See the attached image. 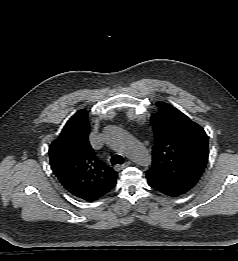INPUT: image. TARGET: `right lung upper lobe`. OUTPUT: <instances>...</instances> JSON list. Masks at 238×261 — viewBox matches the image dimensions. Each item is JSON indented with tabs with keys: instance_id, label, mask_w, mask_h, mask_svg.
<instances>
[{
	"instance_id": "cb5924a9",
	"label": "right lung upper lobe",
	"mask_w": 238,
	"mask_h": 261,
	"mask_svg": "<svg viewBox=\"0 0 238 261\" xmlns=\"http://www.w3.org/2000/svg\"><path fill=\"white\" fill-rule=\"evenodd\" d=\"M89 133L88 113L81 109L52 142L49 159L54 174L65 189L91 202L116 185L118 173L96 156L88 140Z\"/></svg>"
}]
</instances>
